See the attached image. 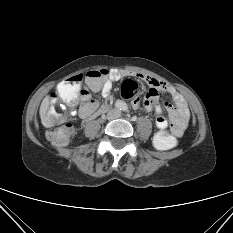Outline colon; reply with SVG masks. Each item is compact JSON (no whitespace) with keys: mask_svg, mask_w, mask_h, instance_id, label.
Masks as SVG:
<instances>
[{"mask_svg":"<svg viewBox=\"0 0 233 233\" xmlns=\"http://www.w3.org/2000/svg\"><path fill=\"white\" fill-rule=\"evenodd\" d=\"M108 76V71L104 69L90 71L85 76L86 87L81 90L83 101L94 103L91 92L99 90ZM84 77L75 75L63 83L56 93L50 97L48 110L44 116V125L49 129L48 139L56 146H64L68 143L73 132L72 125L65 123L61 112V100L67 103L75 101ZM137 89V84L132 80H126L121 86V93L129 97ZM154 145L160 150H169L177 145V140L173 135L165 131L158 132L154 137Z\"/></svg>","mask_w":233,"mask_h":233,"instance_id":"1","label":"colon"}]
</instances>
